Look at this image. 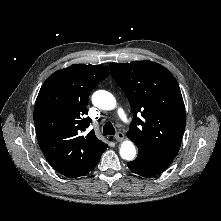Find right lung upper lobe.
Listing matches in <instances>:
<instances>
[{"instance_id":"1","label":"right lung upper lobe","mask_w":221,"mask_h":221,"mask_svg":"<svg viewBox=\"0 0 221 221\" xmlns=\"http://www.w3.org/2000/svg\"><path fill=\"white\" fill-rule=\"evenodd\" d=\"M109 75L100 65L75 64L61 69L42 85L34 107L39 146L51 165L69 178L82 176L107 145L94 130L82 135L90 92Z\"/></svg>"}]
</instances>
